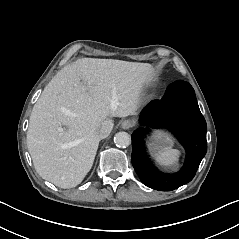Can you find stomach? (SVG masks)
Segmentation results:
<instances>
[{
	"mask_svg": "<svg viewBox=\"0 0 239 239\" xmlns=\"http://www.w3.org/2000/svg\"><path fill=\"white\" fill-rule=\"evenodd\" d=\"M174 144L173 138L160 130H155L149 139V150L157 156L159 152L170 149Z\"/></svg>",
	"mask_w": 239,
	"mask_h": 239,
	"instance_id": "0dacf381",
	"label": "stomach"
}]
</instances>
